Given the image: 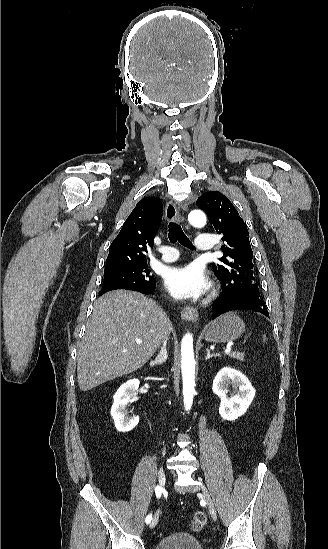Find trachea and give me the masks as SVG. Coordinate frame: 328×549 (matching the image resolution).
<instances>
[{
  "mask_svg": "<svg viewBox=\"0 0 328 549\" xmlns=\"http://www.w3.org/2000/svg\"><path fill=\"white\" fill-rule=\"evenodd\" d=\"M168 238L171 243L178 241L184 247L188 249H194L192 242L184 234L181 226L176 222H170L168 225Z\"/></svg>",
  "mask_w": 328,
  "mask_h": 549,
  "instance_id": "obj_1",
  "label": "trachea"
}]
</instances>
